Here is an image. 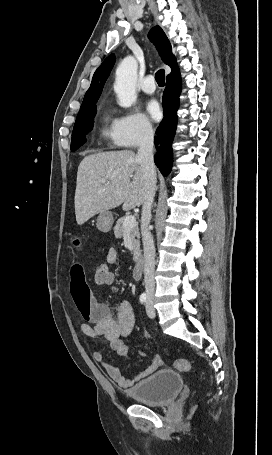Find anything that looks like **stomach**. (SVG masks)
Returning <instances> with one entry per match:
<instances>
[{"label":"stomach","instance_id":"stomach-1","mask_svg":"<svg viewBox=\"0 0 272 455\" xmlns=\"http://www.w3.org/2000/svg\"><path fill=\"white\" fill-rule=\"evenodd\" d=\"M113 225V215L109 211L101 212L97 218V228L103 232L107 233L111 230Z\"/></svg>","mask_w":272,"mask_h":455}]
</instances>
